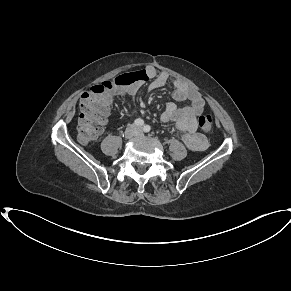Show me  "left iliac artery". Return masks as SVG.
<instances>
[{"label":"left iliac artery","mask_w":291,"mask_h":291,"mask_svg":"<svg viewBox=\"0 0 291 291\" xmlns=\"http://www.w3.org/2000/svg\"><path fill=\"white\" fill-rule=\"evenodd\" d=\"M150 130H151V127H150L149 125H145V126L143 127V131H144V132H150Z\"/></svg>","instance_id":"left-iliac-artery-1"}]
</instances>
